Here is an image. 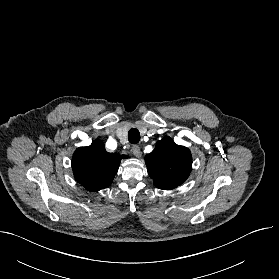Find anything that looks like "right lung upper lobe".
<instances>
[{
  "instance_id": "obj_1",
  "label": "right lung upper lobe",
  "mask_w": 279,
  "mask_h": 279,
  "mask_svg": "<svg viewBox=\"0 0 279 279\" xmlns=\"http://www.w3.org/2000/svg\"><path fill=\"white\" fill-rule=\"evenodd\" d=\"M121 158L117 153H108L99 139L90 146L79 147L72 157L73 174L77 182L89 191L108 187L117 173Z\"/></svg>"
}]
</instances>
